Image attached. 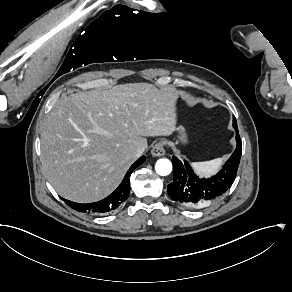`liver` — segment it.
<instances>
[{
    "instance_id": "1",
    "label": "liver",
    "mask_w": 292,
    "mask_h": 292,
    "mask_svg": "<svg viewBox=\"0 0 292 292\" xmlns=\"http://www.w3.org/2000/svg\"><path fill=\"white\" fill-rule=\"evenodd\" d=\"M177 98L174 90L130 83L59 100L42 127L43 174L65 199H104L136 161V149L147 148L143 136L176 130Z\"/></svg>"
}]
</instances>
